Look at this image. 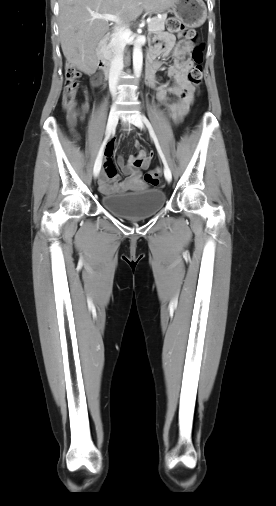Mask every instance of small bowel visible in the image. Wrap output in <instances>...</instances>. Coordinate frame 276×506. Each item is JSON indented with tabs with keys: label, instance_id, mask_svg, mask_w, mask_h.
I'll return each mask as SVG.
<instances>
[{
	"label": "small bowel",
	"instance_id": "1",
	"mask_svg": "<svg viewBox=\"0 0 276 506\" xmlns=\"http://www.w3.org/2000/svg\"><path fill=\"white\" fill-rule=\"evenodd\" d=\"M170 55L173 56L174 63L168 67L167 75L174 80V84H161L155 75L156 71L162 68V63L158 60V57H168ZM147 57L150 58V62L148 63L149 77H146V82L156 89L158 99L167 103L168 114L174 123H179L193 100L194 91L193 85L187 79V71L191 67L187 43L185 40H180L175 44L173 35L164 34L161 36V42H155L149 48ZM91 83L94 88L100 87L102 84L101 76L94 74ZM170 96L177 97L178 100L170 102ZM88 108L89 103L87 102L80 107L82 112L87 111ZM114 146L115 143L110 142L105 151V161L99 180V189L104 193L123 192L134 188L141 179L140 169L148 168L153 158L152 153L145 150H140L137 154L131 156L127 163H125L122 156H119L117 164L126 175V179L121 181L112 162ZM134 146L138 148L139 143L135 142Z\"/></svg>",
	"mask_w": 276,
	"mask_h": 506
}]
</instances>
